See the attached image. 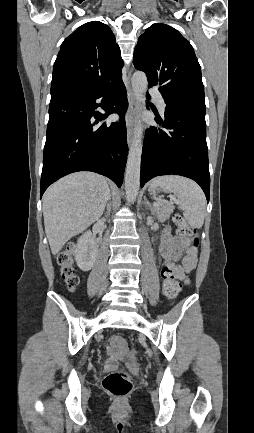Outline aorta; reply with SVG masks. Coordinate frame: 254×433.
<instances>
[{
	"instance_id": "obj_1",
	"label": "aorta",
	"mask_w": 254,
	"mask_h": 433,
	"mask_svg": "<svg viewBox=\"0 0 254 433\" xmlns=\"http://www.w3.org/2000/svg\"><path fill=\"white\" fill-rule=\"evenodd\" d=\"M133 93L138 103L137 109H142L144 93L148 81L146 74L142 71H136L131 80ZM142 135L143 126L140 121L137 122L134 130V137L129 149L126 173H125V192L129 203H134L140 187V168L142 156Z\"/></svg>"
}]
</instances>
